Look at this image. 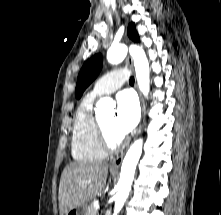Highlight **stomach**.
Returning <instances> with one entry per match:
<instances>
[{
    "instance_id": "1",
    "label": "stomach",
    "mask_w": 221,
    "mask_h": 215,
    "mask_svg": "<svg viewBox=\"0 0 221 215\" xmlns=\"http://www.w3.org/2000/svg\"><path fill=\"white\" fill-rule=\"evenodd\" d=\"M87 206H79L69 210L65 215H86Z\"/></svg>"
}]
</instances>
